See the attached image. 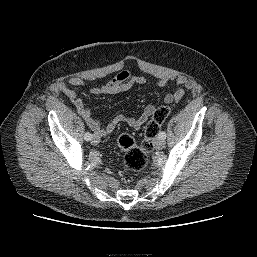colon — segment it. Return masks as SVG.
<instances>
[{
  "instance_id": "colon-1",
  "label": "colon",
  "mask_w": 257,
  "mask_h": 257,
  "mask_svg": "<svg viewBox=\"0 0 257 257\" xmlns=\"http://www.w3.org/2000/svg\"><path fill=\"white\" fill-rule=\"evenodd\" d=\"M169 115L167 106H159L155 109L151 119L145 127V141L140 147L134 137L129 133L120 135L117 141L118 148L124 152V163L132 172L141 171L147 163V152L152 148V140L158 133L161 125Z\"/></svg>"
}]
</instances>
